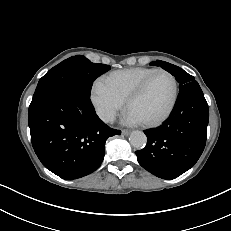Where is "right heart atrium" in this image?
I'll return each instance as SVG.
<instances>
[{"instance_id":"1","label":"right heart atrium","mask_w":231,"mask_h":231,"mask_svg":"<svg viewBox=\"0 0 231 231\" xmlns=\"http://www.w3.org/2000/svg\"><path fill=\"white\" fill-rule=\"evenodd\" d=\"M90 99L98 116L107 123L114 120L124 105V102L109 91L101 81L93 85Z\"/></svg>"}]
</instances>
